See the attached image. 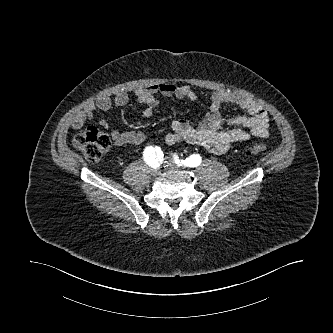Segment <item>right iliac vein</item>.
<instances>
[{
  "mask_svg": "<svg viewBox=\"0 0 333 333\" xmlns=\"http://www.w3.org/2000/svg\"><path fill=\"white\" fill-rule=\"evenodd\" d=\"M152 172H153V173H157V172H158V168H157V167L153 168V169H152Z\"/></svg>",
  "mask_w": 333,
  "mask_h": 333,
  "instance_id": "obj_1",
  "label": "right iliac vein"
}]
</instances>
